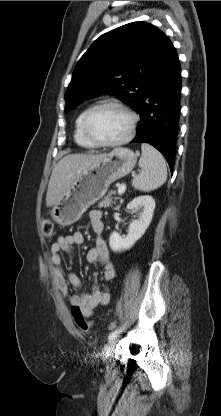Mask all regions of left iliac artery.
<instances>
[{
    "label": "left iliac artery",
    "instance_id": "1",
    "mask_svg": "<svg viewBox=\"0 0 221 416\" xmlns=\"http://www.w3.org/2000/svg\"><path fill=\"white\" fill-rule=\"evenodd\" d=\"M122 330H123V327H121V328H119V329H116V330L112 331V332L109 334L108 339H113V338L117 337V335H118V334H119Z\"/></svg>",
    "mask_w": 221,
    "mask_h": 416
}]
</instances>
